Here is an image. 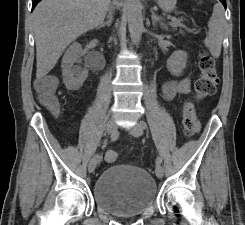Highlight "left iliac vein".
Segmentation results:
<instances>
[{"mask_svg": "<svg viewBox=\"0 0 245 225\" xmlns=\"http://www.w3.org/2000/svg\"><path fill=\"white\" fill-rule=\"evenodd\" d=\"M129 132L134 137H140L143 134V128L141 124L138 123L135 126L130 127ZM155 173H156V176L161 179L164 175V168L161 165H157L155 169Z\"/></svg>", "mask_w": 245, "mask_h": 225, "instance_id": "obj_1", "label": "left iliac vein"}]
</instances>
